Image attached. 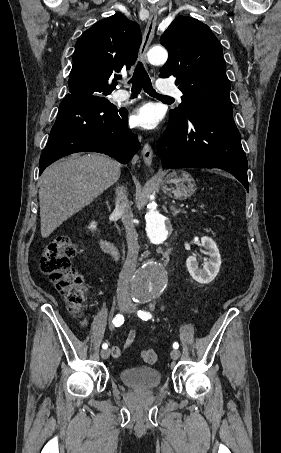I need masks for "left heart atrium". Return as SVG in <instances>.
<instances>
[{
    "mask_svg": "<svg viewBox=\"0 0 281 453\" xmlns=\"http://www.w3.org/2000/svg\"><path fill=\"white\" fill-rule=\"evenodd\" d=\"M158 108L151 103L143 104L132 111L130 122L133 126L150 130L156 128L161 122Z\"/></svg>",
    "mask_w": 281,
    "mask_h": 453,
    "instance_id": "1",
    "label": "left heart atrium"
}]
</instances>
